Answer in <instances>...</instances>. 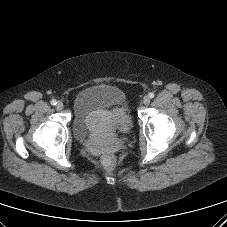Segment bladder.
I'll use <instances>...</instances> for the list:
<instances>
[{"label": "bladder", "instance_id": "obj_1", "mask_svg": "<svg viewBox=\"0 0 227 227\" xmlns=\"http://www.w3.org/2000/svg\"><path fill=\"white\" fill-rule=\"evenodd\" d=\"M73 107L72 130L79 140L98 132L104 119L114 113L124 119L125 132L131 128L127 98L117 87L106 84L87 87L76 95Z\"/></svg>", "mask_w": 227, "mask_h": 227}]
</instances>
